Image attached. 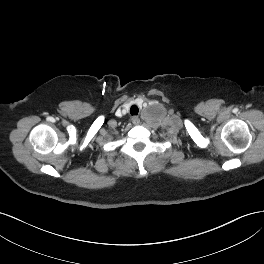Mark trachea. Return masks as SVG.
<instances>
[{"mask_svg":"<svg viewBox=\"0 0 264 264\" xmlns=\"http://www.w3.org/2000/svg\"><path fill=\"white\" fill-rule=\"evenodd\" d=\"M139 109L136 105L131 106L130 108V114L131 115H138Z\"/></svg>","mask_w":264,"mask_h":264,"instance_id":"1","label":"trachea"}]
</instances>
